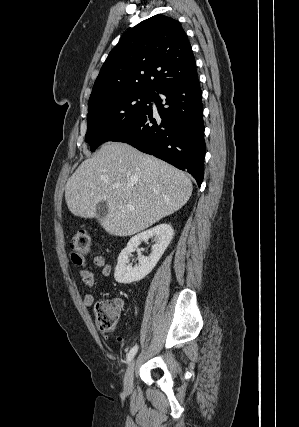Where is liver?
Wrapping results in <instances>:
<instances>
[{"mask_svg": "<svg viewBox=\"0 0 299 427\" xmlns=\"http://www.w3.org/2000/svg\"><path fill=\"white\" fill-rule=\"evenodd\" d=\"M64 190L73 215L97 218L111 235L131 236L182 208L193 187L174 166L129 144L108 142L80 164ZM101 201L108 204L103 218L96 215Z\"/></svg>", "mask_w": 299, "mask_h": 427, "instance_id": "obj_1", "label": "liver"}]
</instances>
